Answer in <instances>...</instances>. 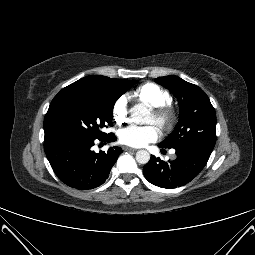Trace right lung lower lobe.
I'll list each match as a JSON object with an SVG mask.
<instances>
[{
    "mask_svg": "<svg viewBox=\"0 0 255 255\" xmlns=\"http://www.w3.org/2000/svg\"><path fill=\"white\" fill-rule=\"evenodd\" d=\"M100 141L113 142V133L99 138ZM94 138L82 136H55L44 140V149L49 163L66 185L80 190L93 189L105 182L119 155L120 147H110L105 153L91 150ZM106 144V143H105Z\"/></svg>",
    "mask_w": 255,
    "mask_h": 255,
    "instance_id": "obj_1",
    "label": "right lung lower lobe"
}]
</instances>
